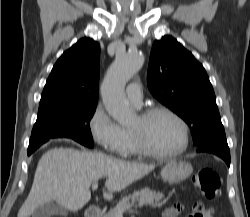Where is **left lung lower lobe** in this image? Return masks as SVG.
Returning a JSON list of instances; mask_svg holds the SVG:
<instances>
[{
    "mask_svg": "<svg viewBox=\"0 0 250 217\" xmlns=\"http://www.w3.org/2000/svg\"><path fill=\"white\" fill-rule=\"evenodd\" d=\"M197 152H207L221 157L228 166H230V150L227 144L225 133L211 137L207 141L201 143Z\"/></svg>",
    "mask_w": 250,
    "mask_h": 217,
    "instance_id": "left-lung-lower-lobe-1",
    "label": "left lung lower lobe"
}]
</instances>
